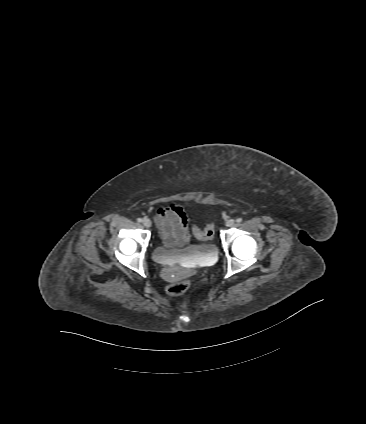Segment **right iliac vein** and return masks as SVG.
Listing matches in <instances>:
<instances>
[{
	"instance_id": "63e3f726",
	"label": "right iliac vein",
	"mask_w": 366,
	"mask_h": 424,
	"mask_svg": "<svg viewBox=\"0 0 366 424\" xmlns=\"http://www.w3.org/2000/svg\"><path fill=\"white\" fill-rule=\"evenodd\" d=\"M143 225L147 228L151 227V221L147 218L143 220Z\"/></svg>"
}]
</instances>
